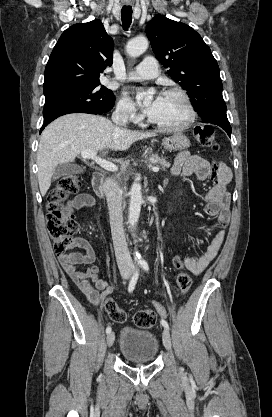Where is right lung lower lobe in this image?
Wrapping results in <instances>:
<instances>
[{
	"label": "right lung lower lobe",
	"instance_id": "1",
	"mask_svg": "<svg viewBox=\"0 0 272 417\" xmlns=\"http://www.w3.org/2000/svg\"><path fill=\"white\" fill-rule=\"evenodd\" d=\"M110 109L107 110H100L91 106H74V107H69V108H65L63 110H60L56 113H54L52 116H50L49 118L45 119L44 124L41 127L40 133L42 132V130L54 119L58 118L59 116L65 115V114H69V113H90V114H103L108 112Z\"/></svg>",
	"mask_w": 272,
	"mask_h": 417
}]
</instances>
